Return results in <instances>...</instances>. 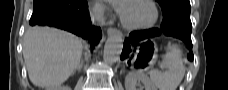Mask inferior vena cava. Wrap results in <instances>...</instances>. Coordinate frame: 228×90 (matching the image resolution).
I'll list each match as a JSON object with an SVG mask.
<instances>
[{"label":"inferior vena cava","instance_id":"1","mask_svg":"<svg viewBox=\"0 0 228 90\" xmlns=\"http://www.w3.org/2000/svg\"><path fill=\"white\" fill-rule=\"evenodd\" d=\"M91 21L99 25L104 24V10L100 6H94L90 11Z\"/></svg>","mask_w":228,"mask_h":90}]
</instances>
